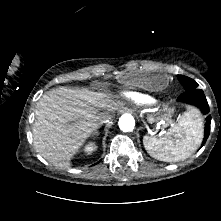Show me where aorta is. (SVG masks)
I'll return each instance as SVG.
<instances>
[{
  "instance_id": "1",
  "label": "aorta",
  "mask_w": 221,
  "mask_h": 221,
  "mask_svg": "<svg viewBox=\"0 0 221 221\" xmlns=\"http://www.w3.org/2000/svg\"><path fill=\"white\" fill-rule=\"evenodd\" d=\"M119 128L123 132H131L135 127V120L132 115L124 114L119 118Z\"/></svg>"
}]
</instances>
